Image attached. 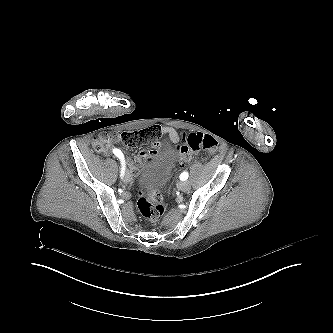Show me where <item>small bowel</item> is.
<instances>
[{"label": "small bowel", "mask_w": 333, "mask_h": 333, "mask_svg": "<svg viewBox=\"0 0 333 333\" xmlns=\"http://www.w3.org/2000/svg\"><path fill=\"white\" fill-rule=\"evenodd\" d=\"M154 127H157L160 129L162 135L168 137V139L172 142V143H178L181 138H182V135L179 134L176 130H174L173 128L171 127H168V126H154ZM176 153L179 157V161L181 163L183 162H187L189 160H184L178 153V151L176 150ZM112 156L115 154L113 151L110 153ZM145 156V153L142 152L139 154L138 156V160H141L143 157ZM138 173V170H137V167L133 164V163H130L129 166H128V173H127V180L128 181H131L135 176L136 174Z\"/></svg>", "instance_id": "small-bowel-1"}]
</instances>
